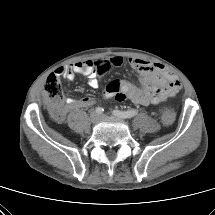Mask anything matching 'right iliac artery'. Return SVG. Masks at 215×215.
<instances>
[{"label": "right iliac artery", "mask_w": 215, "mask_h": 215, "mask_svg": "<svg viewBox=\"0 0 215 215\" xmlns=\"http://www.w3.org/2000/svg\"><path fill=\"white\" fill-rule=\"evenodd\" d=\"M95 111L97 114H102L104 112V109L102 107H97Z\"/></svg>", "instance_id": "1"}]
</instances>
